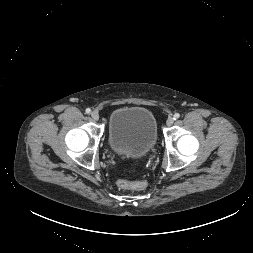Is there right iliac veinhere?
<instances>
[{"instance_id":"63e3f726","label":"right iliac vein","mask_w":253,"mask_h":253,"mask_svg":"<svg viewBox=\"0 0 253 253\" xmlns=\"http://www.w3.org/2000/svg\"><path fill=\"white\" fill-rule=\"evenodd\" d=\"M91 117H92V119L95 120V121L99 120V114H98L96 111H93V112L91 113Z\"/></svg>"}]
</instances>
